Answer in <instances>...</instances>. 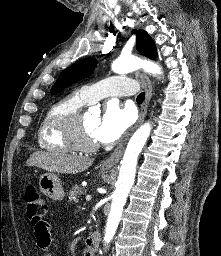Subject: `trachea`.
<instances>
[{"label": "trachea", "instance_id": "obj_1", "mask_svg": "<svg viewBox=\"0 0 221 256\" xmlns=\"http://www.w3.org/2000/svg\"><path fill=\"white\" fill-rule=\"evenodd\" d=\"M144 99H145V92H142V93H140L138 96H137V102H139V103H142L143 101H144Z\"/></svg>", "mask_w": 221, "mask_h": 256}]
</instances>
